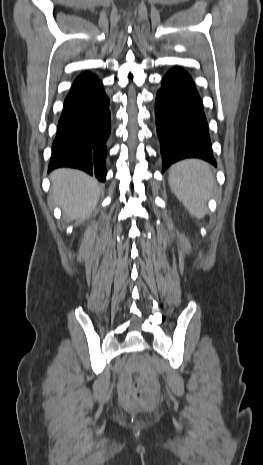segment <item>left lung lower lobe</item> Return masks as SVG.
<instances>
[{"instance_id": "0a47b994", "label": "left lung lower lobe", "mask_w": 263, "mask_h": 465, "mask_svg": "<svg viewBox=\"0 0 263 465\" xmlns=\"http://www.w3.org/2000/svg\"><path fill=\"white\" fill-rule=\"evenodd\" d=\"M157 134L163 171L190 157L216 165L201 98L191 77L174 68L162 79L155 104Z\"/></svg>"}]
</instances>
